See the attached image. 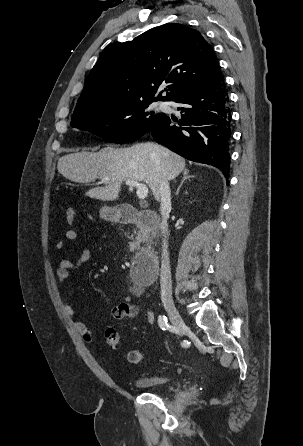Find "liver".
<instances>
[{"mask_svg":"<svg viewBox=\"0 0 303 446\" xmlns=\"http://www.w3.org/2000/svg\"><path fill=\"white\" fill-rule=\"evenodd\" d=\"M185 159L152 142L138 143L129 148L104 147L98 152H77L62 156L57 169L65 178L89 183L109 177L105 186L96 187L86 196L103 201L118 199L121 184L127 180L145 182L156 200L161 181L173 180L185 169Z\"/></svg>","mask_w":303,"mask_h":446,"instance_id":"obj_1","label":"liver"}]
</instances>
